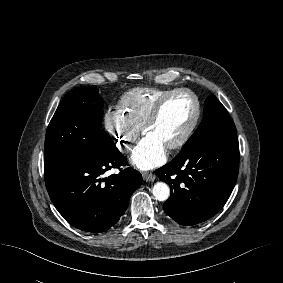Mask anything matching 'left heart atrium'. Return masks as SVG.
<instances>
[{"label": "left heart atrium", "mask_w": 283, "mask_h": 283, "mask_svg": "<svg viewBox=\"0 0 283 283\" xmlns=\"http://www.w3.org/2000/svg\"><path fill=\"white\" fill-rule=\"evenodd\" d=\"M166 160V147L151 136L145 135L134 149L131 162L141 170H150Z\"/></svg>", "instance_id": "39dd6f15"}]
</instances>
